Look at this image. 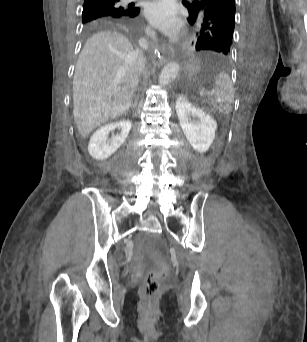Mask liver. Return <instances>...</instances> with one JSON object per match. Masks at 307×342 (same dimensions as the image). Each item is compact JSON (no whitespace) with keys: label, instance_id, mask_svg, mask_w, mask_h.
<instances>
[{"label":"liver","instance_id":"obj_1","mask_svg":"<svg viewBox=\"0 0 307 342\" xmlns=\"http://www.w3.org/2000/svg\"><path fill=\"white\" fill-rule=\"evenodd\" d=\"M138 82L137 58L128 38L117 32L90 36L73 80V116L81 138L125 114Z\"/></svg>","mask_w":307,"mask_h":342}]
</instances>
